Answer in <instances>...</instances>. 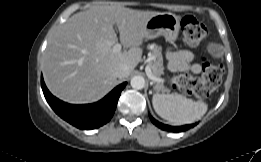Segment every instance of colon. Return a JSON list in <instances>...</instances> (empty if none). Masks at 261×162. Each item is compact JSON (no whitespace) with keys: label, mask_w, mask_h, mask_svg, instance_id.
<instances>
[{"label":"colon","mask_w":261,"mask_h":162,"mask_svg":"<svg viewBox=\"0 0 261 162\" xmlns=\"http://www.w3.org/2000/svg\"><path fill=\"white\" fill-rule=\"evenodd\" d=\"M181 30L185 43L190 47L198 46L208 36L206 26L193 16H185L181 20ZM224 68L206 61L202 64V73L195 77L180 74L171 79L173 88L188 95L202 99L208 97L222 82Z\"/></svg>","instance_id":"1"}]
</instances>
